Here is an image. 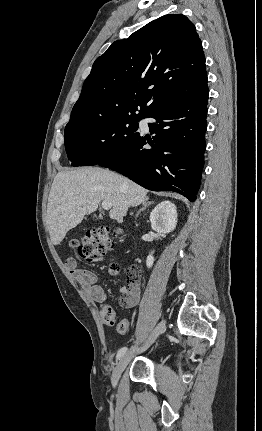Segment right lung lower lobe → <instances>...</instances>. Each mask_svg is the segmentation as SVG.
<instances>
[{
  "label": "right lung lower lobe",
  "mask_w": 262,
  "mask_h": 431,
  "mask_svg": "<svg viewBox=\"0 0 262 431\" xmlns=\"http://www.w3.org/2000/svg\"><path fill=\"white\" fill-rule=\"evenodd\" d=\"M208 86L185 101L146 118L151 134L139 133L120 152L97 164L153 191H175L194 202L204 164ZM149 144L150 148L143 146Z\"/></svg>",
  "instance_id": "obj_1"
}]
</instances>
